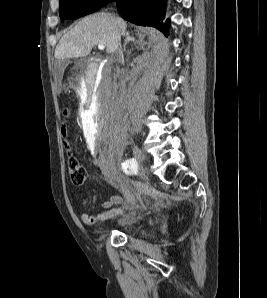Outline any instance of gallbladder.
<instances>
[{
    "label": "gallbladder",
    "instance_id": "gallbladder-1",
    "mask_svg": "<svg viewBox=\"0 0 267 298\" xmlns=\"http://www.w3.org/2000/svg\"><path fill=\"white\" fill-rule=\"evenodd\" d=\"M56 65L59 66V68L56 69L57 73H61V70L67 65L66 61H58L56 62Z\"/></svg>",
    "mask_w": 267,
    "mask_h": 298
}]
</instances>
